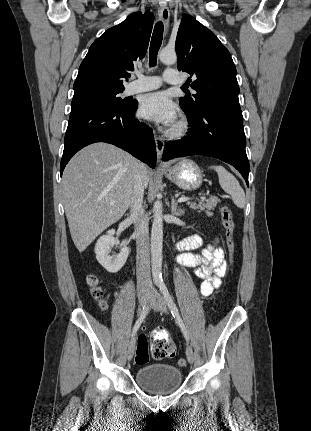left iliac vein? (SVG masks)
Returning <instances> with one entry per match:
<instances>
[{
  "label": "left iliac vein",
  "instance_id": "4c4485c4",
  "mask_svg": "<svg viewBox=\"0 0 311 431\" xmlns=\"http://www.w3.org/2000/svg\"><path fill=\"white\" fill-rule=\"evenodd\" d=\"M150 306L153 310L167 313V306L161 295L156 291L152 290L150 293ZM186 357L189 363L194 362V352L190 345L186 347Z\"/></svg>",
  "mask_w": 311,
  "mask_h": 431
}]
</instances>
